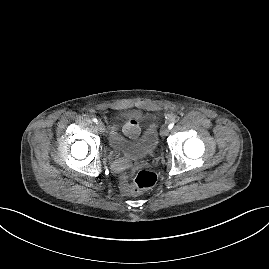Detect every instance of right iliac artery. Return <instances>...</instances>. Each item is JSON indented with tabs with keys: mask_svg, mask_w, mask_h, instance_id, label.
Wrapping results in <instances>:
<instances>
[{
	"mask_svg": "<svg viewBox=\"0 0 269 269\" xmlns=\"http://www.w3.org/2000/svg\"><path fill=\"white\" fill-rule=\"evenodd\" d=\"M93 122L98 123V120L96 118H93Z\"/></svg>",
	"mask_w": 269,
	"mask_h": 269,
	"instance_id": "right-iliac-artery-1",
	"label": "right iliac artery"
}]
</instances>
